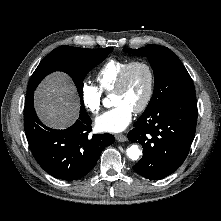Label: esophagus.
<instances>
[{"label":"esophagus","instance_id":"34e87169","mask_svg":"<svg viewBox=\"0 0 221 221\" xmlns=\"http://www.w3.org/2000/svg\"><path fill=\"white\" fill-rule=\"evenodd\" d=\"M115 138L118 142H125L127 141V137L124 134H116Z\"/></svg>","mask_w":221,"mask_h":221}]
</instances>
